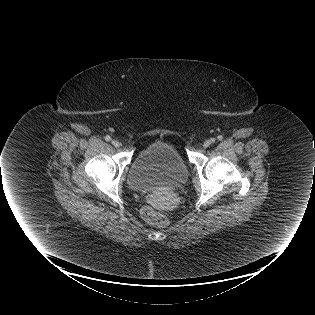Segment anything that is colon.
I'll return each instance as SVG.
<instances>
[{"label": "colon", "instance_id": "5ec220e1", "mask_svg": "<svg viewBox=\"0 0 315 315\" xmlns=\"http://www.w3.org/2000/svg\"><path fill=\"white\" fill-rule=\"evenodd\" d=\"M142 217L150 224H152L155 227H165L168 224V219L167 217L156 211L154 208L151 206H145L142 208L141 211Z\"/></svg>", "mask_w": 315, "mask_h": 315}]
</instances>
